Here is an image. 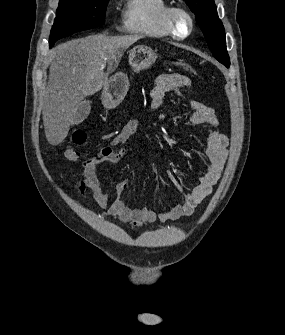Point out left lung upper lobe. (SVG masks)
Segmentation results:
<instances>
[{"label":"left lung upper lobe","mask_w":285,"mask_h":335,"mask_svg":"<svg viewBox=\"0 0 285 335\" xmlns=\"http://www.w3.org/2000/svg\"><path fill=\"white\" fill-rule=\"evenodd\" d=\"M195 13L196 21L202 29L214 57L227 68L230 66L226 50L224 27L218 18L214 0H185Z\"/></svg>","instance_id":"5c2ea615"}]
</instances>
